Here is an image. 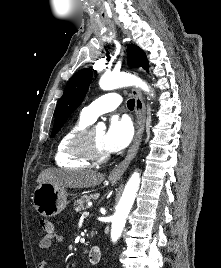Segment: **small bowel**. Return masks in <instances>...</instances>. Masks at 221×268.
I'll use <instances>...</instances> for the list:
<instances>
[{"mask_svg": "<svg viewBox=\"0 0 221 268\" xmlns=\"http://www.w3.org/2000/svg\"><path fill=\"white\" fill-rule=\"evenodd\" d=\"M61 241H62V237L58 235L55 232V229L53 228L51 232H46V234L42 237V239L39 242V249L41 252H45L48 249H50V247L52 246L54 242H61ZM49 265H50V261L47 259H42L39 262V268H48Z\"/></svg>", "mask_w": 221, "mask_h": 268, "instance_id": "1", "label": "small bowel"}]
</instances>
